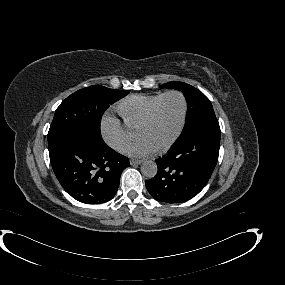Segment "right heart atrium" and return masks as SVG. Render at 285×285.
Here are the masks:
<instances>
[{"mask_svg": "<svg viewBox=\"0 0 285 285\" xmlns=\"http://www.w3.org/2000/svg\"><path fill=\"white\" fill-rule=\"evenodd\" d=\"M100 132L104 141L113 149L122 151L130 142L129 132L122 122L111 115H105L100 124Z\"/></svg>", "mask_w": 285, "mask_h": 285, "instance_id": "1", "label": "right heart atrium"}]
</instances>
